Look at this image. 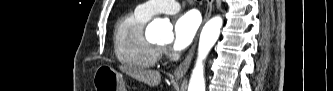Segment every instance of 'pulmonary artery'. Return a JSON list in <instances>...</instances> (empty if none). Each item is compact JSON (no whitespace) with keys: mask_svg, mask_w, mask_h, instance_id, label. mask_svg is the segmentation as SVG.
<instances>
[{"mask_svg":"<svg viewBox=\"0 0 333 91\" xmlns=\"http://www.w3.org/2000/svg\"><path fill=\"white\" fill-rule=\"evenodd\" d=\"M179 9L180 6L177 1L167 0L149 1L139 5L136 10L144 16L151 17L159 13L173 14L178 12Z\"/></svg>","mask_w":333,"mask_h":91,"instance_id":"1","label":"pulmonary artery"}]
</instances>
